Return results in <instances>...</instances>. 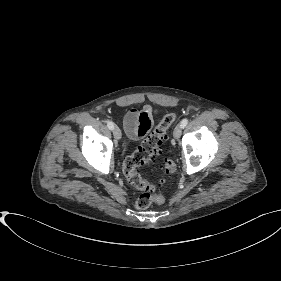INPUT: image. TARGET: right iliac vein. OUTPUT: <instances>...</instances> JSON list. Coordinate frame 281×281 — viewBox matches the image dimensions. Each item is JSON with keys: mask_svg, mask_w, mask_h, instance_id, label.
Wrapping results in <instances>:
<instances>
[{"mask_svg": "<svg viewBox=\"0 0 281 281\" xmlns=\"http://www.w3.org/2000/svg\"><path fill=\"white\" fill-rule=\"evenodd\" d=\"M113 135H114V138L116 140H120L121 139V131H120V129L118 127H114Z\"/></svg>", "mask_w": 281, "mask_h": 281, "instance_id": "1", "label": "right iliac vein"}]
</instances>
